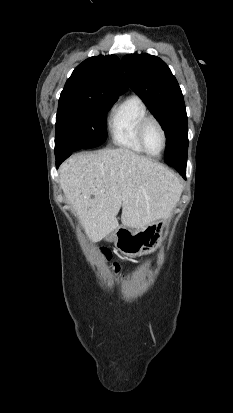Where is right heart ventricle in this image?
Returning a JSON list of instances; mask_svg holds the SVG:
<instances>
[{
  "instance_id": "right-heart-ventricle-1",
  "label": "right heart ventricle",
  "mask_w": 233,
  "mask_h": 413,
  "mask_svg": "<svg viewBox=\"0 0 233 413\" xmlns=\"http://www.w3.org/2000/svg\"><path fill=\"white\" fill-rule=\"evenodd\" d=\"M147 114L146 104L138 95H130L115 105L108 119L112 143L131 152L145 153L137 138V127Z\"/></svg>"
}]
</instances>
